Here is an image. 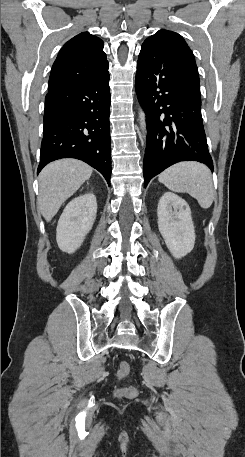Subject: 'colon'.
I'll list each match as a JSON object with an SVG mask.
<instances>
[{
	"mask_svg": "<svg viewBox=\"0 0 245 457\" xmlns=\"http://www.w3.org/2000/svg\"><path fill=\"white\" fill-rule=\"evenodd\" d=\"M130 371V366L126 361L120 362L117 370L118 379L125 378ZM136 393V389L132 386L121 388L118 390L120 396H132Z\"/></svg>",
	"mask_w": 245,
	"mask_h": 457,
	"instance_id": "5ec220e1",
	"label": "colon"
}]
</instances>
